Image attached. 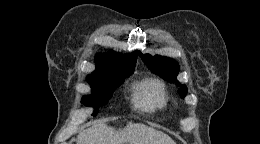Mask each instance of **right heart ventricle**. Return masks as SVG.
Segmentation results:
<instances>
[{
    "instance_id": "e07e8e85",
    "label": "right heart ventricle",
    "mask_w": 260,
    "mask_h": 144,
    "mask_svg": "<svg viewBox=\"0 0 260 144\" xmlns=\"http://www.w3.org/2000/svg\"><path fill=\"white\" fill-rule=\"evenodd\" d=\"M134 104L138 109L155 112L168 104L163 84L155 79H146L135 87Z\"/></svg>"
}]
</instances>
